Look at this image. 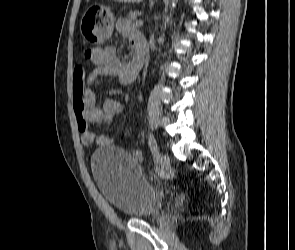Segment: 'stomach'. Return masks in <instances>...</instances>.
Returning <instances> with one entry per match:
<instances>
[{"mask_svg": "<svg viewBox=\"0 0 295 250\" xmlns=\"http://www.w3.org/2000/svg\"><path fill=\"white\" fill-rule=\"evenodd\" d=\"M114 16L110 9L101 4L91 5L84 13L80 31L85 39L93 45H104L114 29Z\"/></svg>", "mask_w": 295, "mask_h": 250, "instance_id": "0dacf381", "label": "stomach"}]
</instances>
